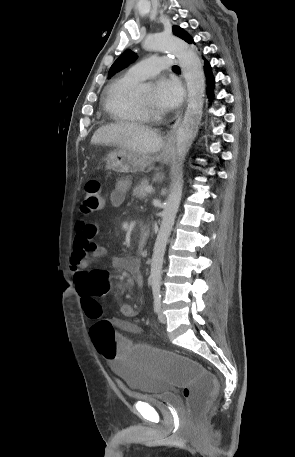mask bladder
Masks as SVG:
<instances>
[{"mask_svg":"<svg viewBox=\"0 0 295 457\" xmlns=\"http://www.w3.org/2000/svg\"><path fill=\"white\" fill-rule=\"evenodd\" d=\"M112 370L131 396L149 402L159 411L181 410V403L168 389L166 378H160L159 374H142L138 366H120V361L113 363Z\"/></svg>","mask_w":295,"mask_h":457,"instance_id":"1","label":"bladder"}]
</instances>
